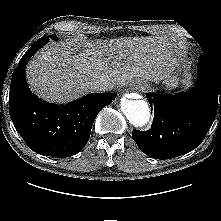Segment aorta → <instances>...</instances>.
Masks as SVG:
<instances>
[{
	"mask_svg": "<svg viewBox=\"0 0 221 221\" xmlns=\"http://www.w3.org/2000/svg\"><path fill=\"white\" fill-rule=\"evenodd\" d=\"M121 110L128 121L135 127H143L150 120V109L145 100L121 99Z\"/></svg>",
	"mask_w": 221,
	"mask_h": 221,
	"instance_id": "762f6f07",
	"label": "aorta"
}]
</instances>
